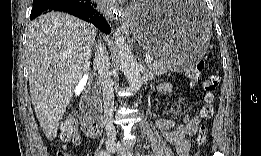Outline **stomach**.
Wrapping results in <instances>:
<instances>
[{
    "label": "stomach",
    "mask_w": 261,
    "mask_h": 156,
    "mask_svg": "<svg viewBox=\"0 0 261 156\" xmlns=\"http://www.w3.org/2000/svg\"><path fill=\"white\" fill-rule=\"evenodd\" d=\"M127 20L139 44L169 69L191 68L209 45L211 22L193 1L136 2Z\"/></svg>",
    "instance_id": "obj_1"
}]
</instances>
